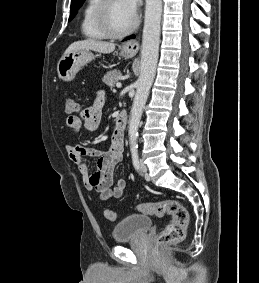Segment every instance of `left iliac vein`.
Returning a JSON list of instances; mask_svg holds the SVG:
<instances>
[{"instance_id": "4c4485c4", "label": "left iliac vein", "mask_w": 259, "mask_h": 283, "mask_svg": "<svg viewBox=\"0 0 259 283\" xmlns=\"http://www.w3.org/2000/svg\"><path fill=\"white\" fill-rule=\"evenodd\" d=\"M140 169L145 174L146 178L149 179V176L147 175L148 168L142 160H140Z\"/></svg>"}]
</instances>
